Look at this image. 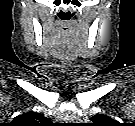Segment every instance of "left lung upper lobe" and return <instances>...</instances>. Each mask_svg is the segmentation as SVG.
<instances>
[{
  "label": "left lung upper lobe",
  "instance_id": "obj_1",
  "mask_svg": "<svg viewBox=\"0 0 135 126\" xmlns=\"http://www.w3.org/2000/svg\"><path fill=\"white\" fill-rule=\"evenodd\" d=\"M104 119H106L104 115H95L91 118L92 121L96 120V122H102Z\"/></svg>",
  "mask_w": 135,
  "mask_h": 126
}]
</instances>
